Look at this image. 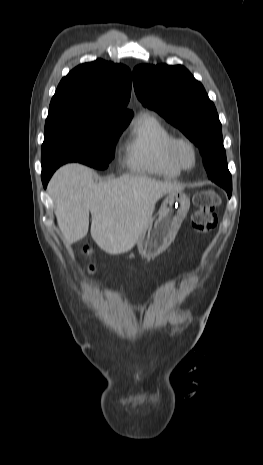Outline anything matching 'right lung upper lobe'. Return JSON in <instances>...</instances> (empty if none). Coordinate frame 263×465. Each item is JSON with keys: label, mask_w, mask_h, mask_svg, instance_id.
Wrapping results in <instances>:
<instances>
[{"label": "right lung upper lobe", "mask_w": 263, "mask_h": 465, "mask_svg": "<svg viewBox=\"0 0 263 465\" xmlns=\"http://www.w3.org/2000/svg\"><path fill=\"white\" fill-rule=\"evenodd\" d=\"M130 93L129 68L98 59L77 66L61 80L50 108L80 107L133 116L126 109Z\"/></svg>", "instance_id": "right-lung-upper-lobe-1"}]
</instances>
